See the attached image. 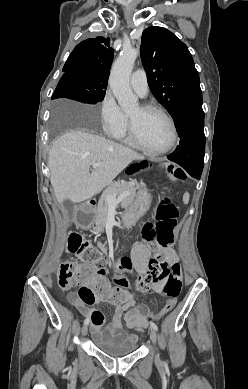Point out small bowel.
I'll list each match as a JSON object with an SVG mask.
<instances>
[{"label": "small bowel", "mask_w": 248, "mask_h": 389, "mask_svg": "<svg viewBox=\"0 0 248 389\" xmlns=\"http://www.w3.org/2000/svg\"><path fill=\"white\" fill-rule=\"evenodd\" d=\"M156 245V251L158 254L167 261L169 264H175L178 262V255L176 252L169 247H160ZM151 246L146 242L137 243L131 251L130 259L134 265L135 271L143 273L147 266V260L151 254ZM107 284V283H106ZM108 285V284H107ZM164 283H158L154 285V289L157 292H161ZM109 286V285H108ZM110 287V286H109ZM116 288L119 291L126 294L127 299L122 303H113L107 300L98 299L91 305H99L102 303H111L115 305L113 312V317L111 322L104 329L109 334H127L129 335L135 343L138 341V335L135 331H140L146 326V315L148 314V306L145 304L136 305L137 299L136 296L129 294L128 292L123 291L122 286L110 287ZM135 294V293H134ZM67 301L76 307L86 319H91V314L93 311L88 304H85L79 297L77 292H70L67 295Z\"/></svg>", "instance_id": "c3829d8e"}]
</instances>
